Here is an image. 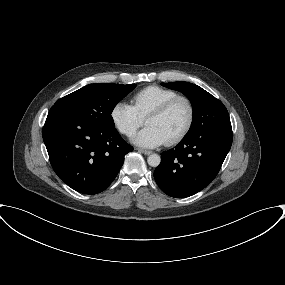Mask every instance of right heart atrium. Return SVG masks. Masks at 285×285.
<instances>
[{"label":"right heart atrium","mask_w":285,"mask_h":285,"mask_svg":"<svg viewBox=\"0 0 285 285\" xmlns=\"http://www.w3.org/2000/svg\"><path fill=\"white\" fill-rule=\"evenodd\" d=\"M111 119L117 130L125 136L133 135L144 122L135 108L124 101L113 106Z\"/></svg>","instance_id":"obj_1"}]
</instances>
